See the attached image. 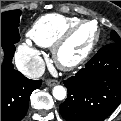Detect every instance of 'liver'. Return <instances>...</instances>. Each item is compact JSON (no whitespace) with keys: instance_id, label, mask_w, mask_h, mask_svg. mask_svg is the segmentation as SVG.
<instances>
[{"instance_id":"6515ba94","label":"liver","mask_w":121,"mask_h":121,"mask_svg":"<svg viewBox=\"0 0 121 121\" xmlns=\"http://www.w3.org/2000/svg\"><path fill=\"white\" fill-rule=\"evenodd\" d=\"M1 59H2V50H1Z\"/></svg>"}]
</instances>
